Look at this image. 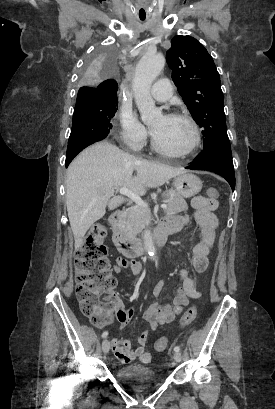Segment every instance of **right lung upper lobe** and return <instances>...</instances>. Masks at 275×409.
Here are the masks:
<instances>
[{"instance_id": "right-lung-upper-lobe-1", "label": "right lung upper lobe", "mask_w": 275, "mask_h": 409, "mask_svg": "<svg viewBox=\"0 0 275 409\" xmlns=\"http://www.w3.org/2000/svg\"><path fill=\"white\" fill-rule=\"evenodd\" d=\"M118 89L117 82L113 79H107L98 85L96 90H81L79 89L78 93H88L98 97L103 96H116Z\"/></svg>"}]
</instances>
